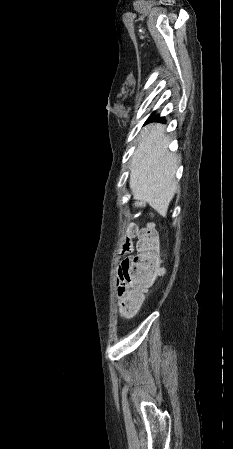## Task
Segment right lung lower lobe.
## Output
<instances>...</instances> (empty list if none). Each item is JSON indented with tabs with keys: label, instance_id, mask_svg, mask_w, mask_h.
I'll list each match as a JSON object with an SVG mask.
<instances>
[{
	"label": "right lung lower lobe",
	"instance_id": "1",
	"mask_svg": "<svg viewBox=\"0 0 233 449\" xmlns=\"http://www.w3.org/2000/svg\"><path fill=\"white\" fill-rule=\"evenodd\" d=\"M161 121V122H164V118L163 117H159V116H156V117H153V118H151L150 120H148L147 122H150V121Z\"/></svg>",
	"mask_w": 233,
	"mask_h": 449
}]
</instances>
